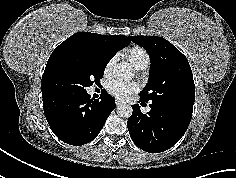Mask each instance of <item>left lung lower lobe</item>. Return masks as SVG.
I'll return each mask as SVG.
<instances>
[{
    "mask_svg": "<svg viewBox=\"0 0 236 178\" xmlns=\"http://www.w3.org/2000/svg\"><path fill=\"white\" fill-rule=\"evenodd\" d=\"M150 108V112L143 114L138 104L132 105L127 127L136 146L149 153H159L181 139L190 124L193 108L153 102Z\"/></svg>",
    "mask_w": 236,
    "mask_h": 178,
    "instance_id": "0a47b994",
    "label": "left lung lower lobe"
}]
</instances>
